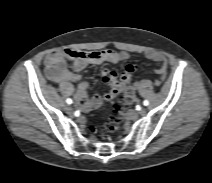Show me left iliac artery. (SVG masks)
Masks as SVG:
<instances>
[{
	"label": "left iliac artery",
	"instance_id": "obj_1",
	"mask_svg": "<svg viewBox=\"0 0 212 183\" xmlns=\"http://www.w3.org/2000/svg\"><path fill=\"white\" fill-rule=\"evenodd\" d=\"M143 104H144V106H148L149 102L147 100H144Z\"/></svg>",
	"mask_w": 212,
	"mask_h": 183
}]
</instances>
